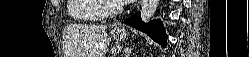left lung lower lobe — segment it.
Returning <instances> with one entry per match:
<instances>
[{
    "mask_svg": "<svg viewBox=\"0 0 249 57\" xmlns=\"http://www.w3.org/2000/svg\"><path fill=\"white\" fill-rule=\"evenodd\" d=\"M125 24L130 25L150 36L155 42L159 43L163 47H166L167 44V35L165 34V30L163 24L160 20H153L147 24H145L141 20L140 12L135 13L128 19H126Z\"/></svg>",
    "mask_w": 249,
    "mask_h": 57,
    "instance_id": "obj_1",
    "label": "left lung lower lobe"
}]
</instances>
